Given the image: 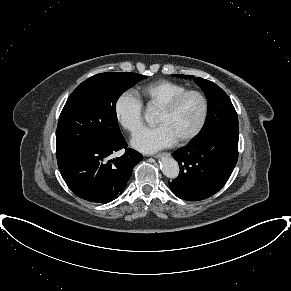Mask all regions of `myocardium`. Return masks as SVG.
Here are the masks:
<instances>
[{"label":"myocardium","instance_id":"obj_1","mask_svg":"<svg viewBox=\"0 0 291 291\" xmlns=\"http://www.w3.org/2000/svg\"><path fill=\"white\" fill-rule=\"evenodd\" d=\"M190 95H195L200 99L202 103L201 117L197 126L194 128L192 132H190L185 137L176 141L178 145H184V144L189 143L194 138H196L200 134L202 129L204 128L207 118H208V113H209V102L206 95L199 90H194V89L185 90L177 94L176 96H174L172 99H170L167 103H165L162 107L159 108V110L163 111L164 113H171L177 108V106L180 104V102L184 98Z\"/></svg>","mask_w":291,"mask_h":291}]
</instances>
